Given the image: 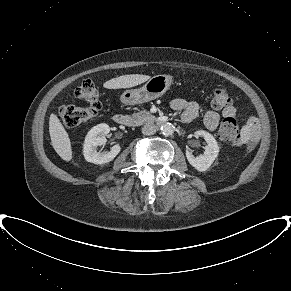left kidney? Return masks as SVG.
Segmentation results:
<instances>
[{
	"mask_svg": "<svg viewBox=\"0 0 291 291\" xmlns=\"http://www.w3.org/2000/svg\"><path fill=\"white\" fill-rule=\"evenodd\" d=\"M197 135L202 136L207 145L203 154L194 156L188 149L186 150V157L188 162L198 171H206L214 162L219 153V146L213 135L210 133L199 130Z\"/></svg>",
	"mask_w": 291,
	"mask_h": 291,
	"instance_id": "5707ae66",
	"label": "left kidney"
}]
</instances>
